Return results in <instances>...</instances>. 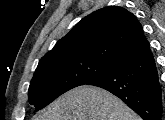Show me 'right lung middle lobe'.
<instances>
[{
  "label": "right lung middle lobe",
  "mask_w": 165,
  "mask_h": 120,
  "mask_svg": "<svg viewBox=\"0 0 165 120\" xmlns=\"http://www.w3.org/2000/svg\"><path fill=\"white\" fill-rule=\"evenodd\" d=\"M117 65L87 58L39 64L30 83L29 102L37 109H42L68 90L88 84Z\"/></svg>",
  "instance_id": "right-lung-middle-lobe-1"
}]
</instances>
